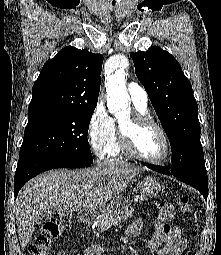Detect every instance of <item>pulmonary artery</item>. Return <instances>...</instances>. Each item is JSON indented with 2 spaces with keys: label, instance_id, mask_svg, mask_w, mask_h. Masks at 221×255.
<instances>
[{
  "label": "pulmonary artery",
  "instance_id": "1",
  "mask_svg": "<svg viewBox=\"0 0 221 255\" xmlns=\"http://www.w3.org/2000/svg\"><path fill=\"white\" fill-rule=\"evenodd\" d=\"M127 90L134 105L147 107L148 94L143 87L136 82H130Z\"/></svg>",
  "mask_w": 221,
  "mask_h": 255
}]
</instances>
